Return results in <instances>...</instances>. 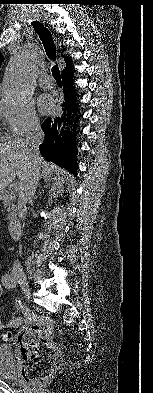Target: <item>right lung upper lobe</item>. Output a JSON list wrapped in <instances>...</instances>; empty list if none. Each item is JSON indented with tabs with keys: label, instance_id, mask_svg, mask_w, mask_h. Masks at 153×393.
<instances>
[{
	"label": "right lung upper lobe",
	"instance_id": "cb5924a9",
	"mask_svg": "<svg viewBox=\"0 0 153 393\" xmlns=\"http://www.w3.org/2000/svg\"><path fill=\"white\" fill-rule=\"evenodd\" d=\"M3 59H4V57L2 56V54H0V64L2 63ZM65 62H66V67L63 70V72L72 69V63H71V60L68 57H65Z\"/></svg>",
	"mask_w": 153,
	"mask_h": 393
}]
</instances>
